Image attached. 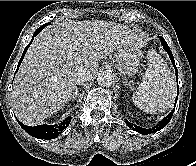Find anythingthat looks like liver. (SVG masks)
I'll return each mask as SVG.
<instances>
[{
	"mask_svg": "<svg viewBox=\"0 0 196 166\" xmlns=\"http://www.w3.org/2000/svg\"><path fill=\"white\" fill-rule=\"evenodd\" d=\"M142 47L127 26L107 21L55 22L39 33L16 74L12 107L25 125H36L59 111L71 97L77 72L90 74L98 62L124 46Z\"/></svg>",
	"mask_w": 196,
	"mask_h": 166,
	"instance_id": "1",
	"label": "liver"
}]
</instances>
